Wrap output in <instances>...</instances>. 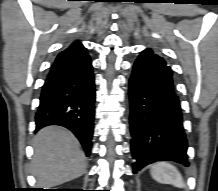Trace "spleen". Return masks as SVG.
Wrapping results in <instances>:
<instances>
[{"mask_svg": "<svg viewBox=\"0 0 218 191\" xmlns=\"http://www.w3.org/2000/svg\"><path fill=\"white\" fill-rule=\"evenodd\" d=\"M150 174L154 180L162 184H171L184 188L185 184L179 170L169 162H157L152 165Z\"/></svg>", "mask_w": 218, "mask_h": 191, "instance_id": "spleen-1", "label": "spleen"}]
</instances>
